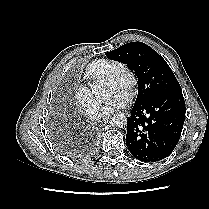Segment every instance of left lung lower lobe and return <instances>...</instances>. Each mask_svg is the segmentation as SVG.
Instances as JSON below:
<instances>
[{
    "label": "left lung lower lobe",
    "instance_id": "obj_1",
    "mask_svg": "<svg viewBox=\"0 0 209 209\" xmlns=\"http://www.w3.org/2000/svg\"><path fill=\"white\" fill-rule=\"evenodd\" d=\"M184 120L182 91L134 105L127 121L126 144L130 153L143 162L168 157L180 139Z\"/></svg>",
    "mask_w": 209,
    "mask_h": 209
}]
</instances>
